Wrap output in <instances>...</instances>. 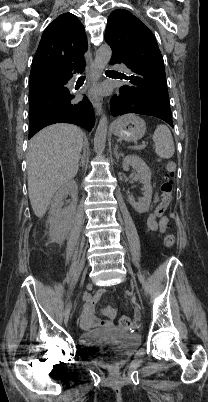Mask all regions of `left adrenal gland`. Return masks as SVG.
<instances>
[{
  "mask_svg": "<svg viewBox=\"0 0 208 402\" xmlns=\"http://www.w3.org/2000/svg\"><path fill=\"white\" fill-rule=\"evenodd\" d=\"M114 156H115L117 162H118L120 156H123V154H118V146H117V144H116V146L114 148Z\"/></svg>",
  "mask_w": 208,
  "mask_h": 402,
  "instance_id": "a2214340",
  "label": "left adrenal gland"
}]
</instances>
